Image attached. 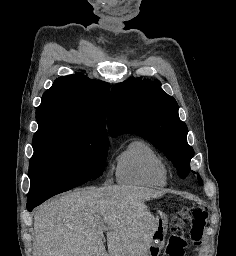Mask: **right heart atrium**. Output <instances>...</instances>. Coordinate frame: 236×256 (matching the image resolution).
<instances>
[{
    "instance_id": "1",
    "label": "right heart atrium",
    "mask_w": 236,
    "mask_h": 256,
    "mask_svg": "<svg viewBox=\"0 0 236 256\" xmlns=\"http://www.w3.org/2000/svg\"><path fill=\"white\" fill-rule=\"evenodd\" d=\"M112 180H113L112 174L109 172L106 176L105 183H110L112 182Z\"/></svg>"
}]
</instances>
